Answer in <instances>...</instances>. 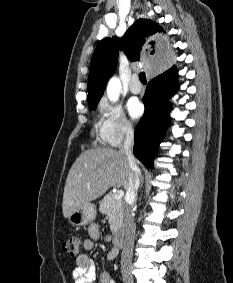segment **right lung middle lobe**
Listing matches in <instances>:
<instances>
[{"label": "right lung middle lobe", "mask_w": 233, "mask_h": 283, "mask_svg": "<svg viewBox=\"0 0 233 283\" xmlns=\"http://www.w3.org/2000/svg\"><path fill=\"white\" fill-rule=\"evenodd\" d=\"M96 106H97V105H91V106H90V109H91V110H94V109L96 108Z\"/></svg>", "instance_id": "dd1d6c3e"}]
</instances>
